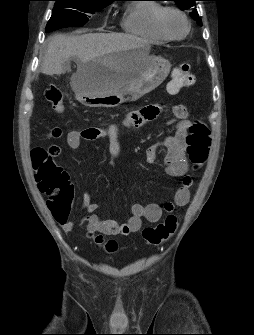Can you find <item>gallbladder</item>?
I'll use <instances>...</instances> for the list:
<instances>
[{
    "label": "gallbladder",
    "mask_w": 254,
    "mask_h": 335,
    "mask_svg": "<svg viewBox=\"0 0 254 335\" xmlns=\"http://www.w3.org/2000/svg\"><path fill=\"white\" fill-rule=\"evenodd\" d=\"M64 69H65V70H67V69H68V67H67V66H65V67H64Z\"/></svg>",
    "instance_id": "obj_1"
}]
</instances>
